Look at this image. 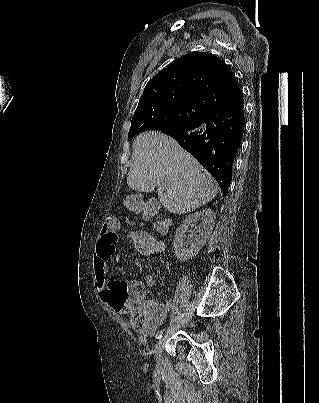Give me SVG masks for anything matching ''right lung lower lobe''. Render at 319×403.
<instances>
[{
	"instance_id": "98d812e1",
	"label": "right lung lower lobe",
	"mask_w": 319,
	"mask_h": 403,
	"mask_svg": "<svg viewBox=\"0 0 319 403\" xmlns=\"http://www.w3.org/2000/svg\"><path fill=\"white\" fill-rule=\"evenodd\" d=\"M245 128L243 103L209 111L192 124L166 127L173 137L217 180L223 194L231 183L232 165Z\"/></svg>"
}]
</instances>
